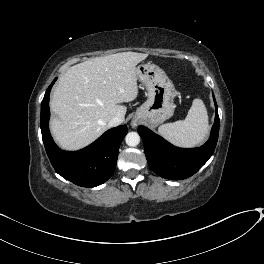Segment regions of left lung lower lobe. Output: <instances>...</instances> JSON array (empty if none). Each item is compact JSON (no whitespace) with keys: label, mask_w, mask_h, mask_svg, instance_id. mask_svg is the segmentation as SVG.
I'll return each instance as SVG.
<instances>
[{"label":"left lung lower lobe","mask_w":264,"mask_h":264,"mask_svg":"<svg viewBox=\"0 0 264 264\" xmlns=\"http://www.w3.org/2000/svg\"><path fill=\"white\" fill-rule=\"evenodd\" d=\"M215 122L209 140L199 148H178L144 126H139L145 155L149 166L157 175L171 180H181L195 174L212 156L219 134V116L215 97Z\"/></svg>","instance_id":"left-lung-lower-lobe-1"}]
</instances>
